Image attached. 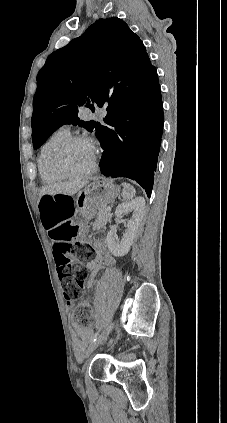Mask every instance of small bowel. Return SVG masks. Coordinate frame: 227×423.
<instances>
[{
	"label": "small bowel",
	"mask_w": 227,
	"mask_h": 423,
	"mask_svg": "<svg viewBox=\"0 0 227 423\" xmlns=\"http://www.w3.org/2000/svg\"><path fill=\"white\" fill-rule=\"evenodd\" d=\"M69 223V221H62L60 222V224H56V226H52V227H45L48 236L54 241L56 242V236H55V231L56 229H58L59 227H61L62 225H65ZM108 264V265H112L114 263V259L113 257L108 253L107 250L103 251V252H99V254L90 262L87 263V269L90 272L89 278L87 280L86 285L88 287H91L94 283H95V278L96 275L99 271V269L101 268L102 264ZM74 302L72 301H67V307L71 308L73 306ZM99 312H95L94 317L95 319L99 318ZM73 327L79 337V339L76 340L75 342V351L77 354H80L82 352V350L84 349V347L87 345L90 337L93 334V329L91 326L89 327H82L77 325L75 322H73Z\"/></svg>",
	"instance_id": "small-bowel-1"
}]
</instances>
